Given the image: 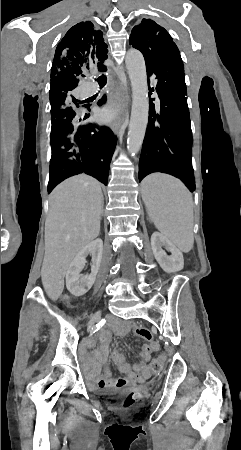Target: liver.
<instances>
[{
	"instance_id": "6515ba94",
	"label": "liver",
	"mask_w": 241,
	"mask_h": 450,
	"mask_svg": "<svg viewBox=\"0 0 241 450\" xmlns=\"http://www.w3.org/2000/svg\"><path fill=\"white\" fill-rule=\"evenodd\" d=\"M49 204L41 280L49 298L57 300L64 290V278L74 256L100 232L101 186L86 174L73 176L54 188Z\"/></svg>"
}]
</instances>
